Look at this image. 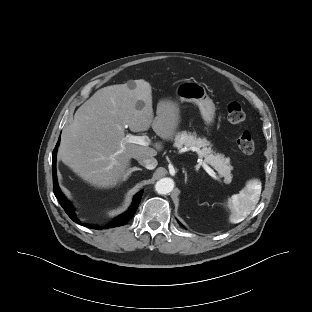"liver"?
Returning a JSON list of instances; mask_svg holds the SVG:
<instances>
[{
    "label": "liver",
    "mask_w": 312,
    "mask_h": 312,
    "mask_svg": "<svg viewBox=\"0 0 312 312\" xmlns=\"http://www.w3.org/2000/svg\"><path fill=\"white\" fill-rule=\"evenodd\" d=\"M139 101L143 103L141 109L136 107ZM179 112L173 101L160 100L154 118L151 85L143 79L101 88L64 128L59 158L91 185L114 186L129 176L131 158H151L162 148L160 143L154 148L126 143L125 128L141 132L152 127L168 140L178 128Z\"/></svg>",
    "instance_id": "obj_1"
}]
</instances>
